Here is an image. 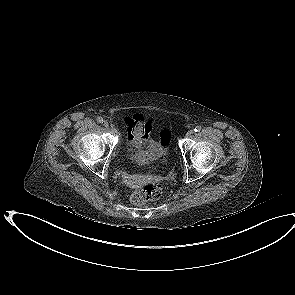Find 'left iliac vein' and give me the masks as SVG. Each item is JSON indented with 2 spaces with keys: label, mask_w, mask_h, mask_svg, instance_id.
<instances>
[{
  "label": "left iliac vein",
  "mask_w": 295,
  "mask_h": 295,
  "mask_svg": "<svg viewBox=\"0 0 295 295\" xmlns=\"http://www.w3.org/2000/svg\"><path fill=\"white\" fill-rule=\"evenodd\" d=\"M194 131L191 129L186 133V137L190 138L193 135Z\"/></svg>",
  "instance_id": "4c4485c4"
}]
</instances>
